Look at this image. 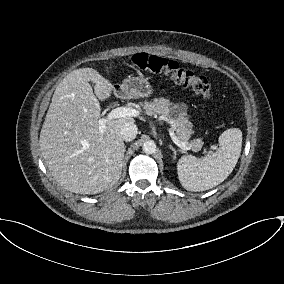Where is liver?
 I'll return each instance as SVG.
<instances>
[{
    "label": "liver",
    "instance_id": "obj_1",
    "mask_svg": "<svg viewBox=\"0 0 284 284\" xmlns=\"http://www.w3.org/2000/svg\"><path fill=\"white\" fill-rule=\"evenodd\" d=\"M89 82L95 84L94 92ZM113 84L93 68L70 72L56 87L40 133V149L54 179L66 190L97 194L120 179L125 145L120 128L132 117L108 121L99 132V100Z\"/></svg>",
    "mask_w": 284,
    "mask_h": 284
}]
</instances>
